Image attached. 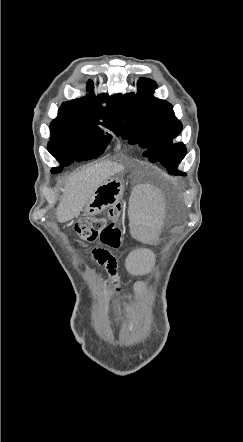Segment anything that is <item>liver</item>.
<instances>
[{"label":"liver","mask_w":243,"mask_h":442,"mask_svg":"<svg viewBox=\"0 0 243 442\" xmlns=\"http://www.w3.org/2000/svg\"><path fill=\"white\" fill-rule=\"evenodd\" d=\"M124 166L104 161L87 166L73 174L66 183L63 196L57 207L58 222H67L77 217L93 196L95 190L108 178L123 171Z\"/></svg>","instance_id":"6515ba94"}]
</instances>
